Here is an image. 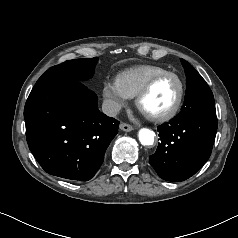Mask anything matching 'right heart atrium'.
I'll list each match as a JSON object with an SVG mask.
<instances>
[{"label":"right heart atrium","instance_id":"d8ad5b80","mask_svg":"<svg viewBox=\"0 0 238 238\" xmlns=\"http://www.w3.org/2000/svg\"><path fill=\"white\" fill-rule=\"evenodd\" d=\"M102 95L112 114L119 112L120 109L126 105L129 99L121 90L117 80L104 81Z\"/></svg>","mask_w":238,"mask_h":238}]
</instances>
